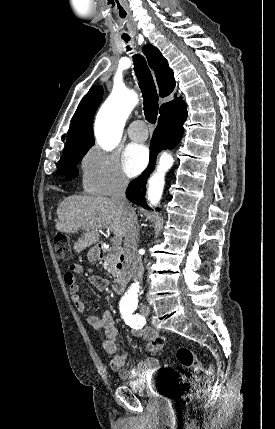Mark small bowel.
<instances>
[{"label":"small bowel","mask_w":275,"mask_h":429,"mask_svg":"<svg viewBox=\"0 0 275 429\" xmlns=\"http://www.w3.org/2000/svg\"><path fill=\"white\" fill-rule=\"evenodd\" d=\"M82 271L83 267L80 264H72L64 277L65 283L69 286L71 301L80 313L85 312L86 306L79 295L80 287L75 282V275L82 273ZM89 282L98 290H105L108 286L106 279L96 275L90 276ZM87 323L93 330L103 333L102 346L105 355L109 359L110 367L113 371L119 373L123 379L137 378L158 369L159 362L155 358H148L144 362L138 363L128 369L125 367L128 356L126 353H117L119 342L118 331L115 327L112 314L109 311H105L101 316L89 315ZM132 333L134 336L142 337L148 342L147 349L149 351H153L154 343L162 338L156 330L151 328L133 329Z\"/></svg>","instance_id":"c3829d8e"}]
</instances>
